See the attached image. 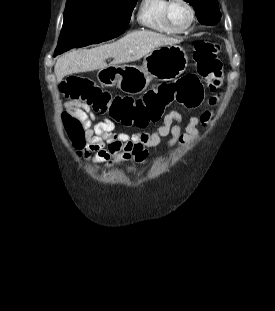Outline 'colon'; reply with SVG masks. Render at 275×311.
I'll return each mask as SVG.
<instances>
[{"label": "colon", "instance_id": "colon-1", "mask_svg": "<svg viewBox=\"0 0 275 311\" xmlns=\"http://www.w3.org/2000/svg\"><path fill=\"white\" fill-rule=\"evenodd\" d=\"M220 52L219 44L198 41L193 52L197 74H187L174 82L160 84L138 99L112 97L89 78L77 75L68 76L62 83L61 91L68 101L92 106L108 121H122L123 125H135L136 129H149L150 123L161 121L165 109L174 103L186 108H196L202 103L200 78L209 79L221 73ZM64 120L71 137L80 144L84 132L80 120L70 113L64 114Z\"/></svg>", "mask_w": 275, "mask_h": 311}]
</instances>
